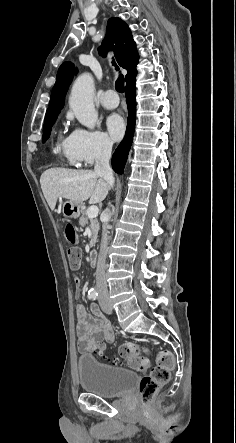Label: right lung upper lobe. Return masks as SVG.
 <instances>
[{
  "mask_svg": "<svg viewBox=\"0 0 236 443\" xmlns=\"http://www.w3.org/2000/svg\"><path fill=\"white\" fill-rule=\"evenodd\" d=\"M109 50L114 51L117 63L127 70L126 77L136 71V65L138 63L136 44L128 25L117 17H112L108 20L107 34L99 48V53L102 56H106V52ZM73 76L74 65L70 62H64L57 73L49 107L45 115V121L58 116L60 110L63 108L66 91Z\"/></svg>",
  "mask_w": 236,
  "mask_h": 443,
  "instance_id": "cb5924a9",
  "label": "right lung upper lobe"
}]
</instances>
